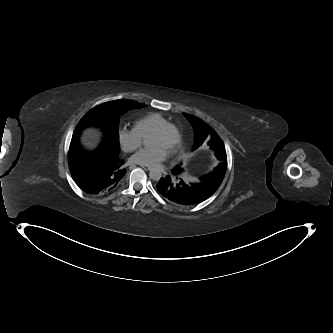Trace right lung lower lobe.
Returning a JSON list of instances; mask_svg holds the SVG:
<instances>
[{
	"label": "right lung lower lobe",
	"instance_id": "right-lung-lower-lobe-1",
	"mask_svg": "<svg viewBox=\"0 0 333 333\" xmlns=\"http://www.w3.org/2000/svg\"><path fill=\"white\" fill-rule=\"evenodd\" d=\"M68 161L72 178L91 195L113 191L126 173L124 161L103 145L96 153L84 152L72 137Z\"/></svg>",
	"mask_w": 333,
	"mask_h": 333
}]
</instances>
